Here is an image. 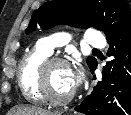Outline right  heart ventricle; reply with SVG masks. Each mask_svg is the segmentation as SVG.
Segmentation results:
<instances>
[{
	"instance_id": "1",
	"label": "right heart ventricle",
	"mask_w": 131,
	"mask_h": 115,
	"mask_svg": "<svg viewBox=\"0 0 131 115\" xmlns=\"http://www.w3.org/2000/svg\"><path fill=\"white\" fill-rule=\"evenodd\" d=\"M50 54L39 46L34 47L24 54L17 68V83L23 98L31 103H43L40 93L37 90V72L41 63Z\"/></svg>"
}]
</instances>
